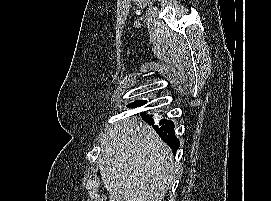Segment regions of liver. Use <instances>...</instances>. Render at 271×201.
I'll return each instance as SVG.
<instances>
[{"instance_id":"1","label":"liver","mask_w":271,"mask_h":201,"mask_svg":"<svg viewBox=\"0 0 271 201\" xmlns=\"http://www.w3.org/2000/svg\"><path fill=\"white\" fill-rule=\"evenodd\" d=\"M98 159L109 201H162L175 178L170 149L137 117L109 127Z\"/></svg>"}]
</instances>
